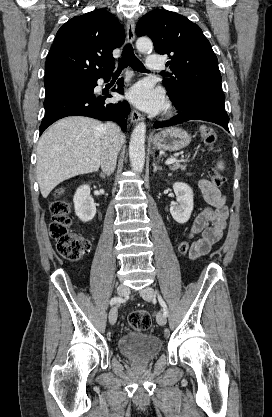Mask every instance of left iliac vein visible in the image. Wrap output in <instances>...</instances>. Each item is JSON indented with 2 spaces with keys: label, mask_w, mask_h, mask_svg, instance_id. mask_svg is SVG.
Instances as JSON below:
<instances>
[{
  "label": "left iliac vein",
  "mask_w": 272,
  "mask_h": 417,
  "mask_svg": "<svg viewBox=\"0 0 272 417\" xmlns=\"http://www.w3.org/2000/svg\"><path fill=\"white\" fill-rule=\"evenodd\" d=\"M141 297L146 301H152L154 299V289L150 286L145 287L140 291ZM156 321L159 325L164 326L167 322L166 317L162 312H159L156 316Z\"/></svg>",
  "instance_id": "left-iliac-vein-1"
}]
</instances>
